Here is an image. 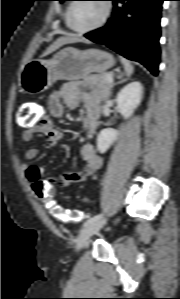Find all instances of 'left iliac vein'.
I'll return each mask as SVG.
<instances>
[{"mask_svg":"<svg viewBox=\"0 0 180 299\" xmlns=\"http://www.w3.org/2000/svg\"><path fill=\"white\" fill-rule=\"evenodd\" d=\"M106 223V219H99L86 226L78 235L76 241V251H79L91 236L96 234Z\"/></svg>","mask_w":180,"mask_h":299,"instance_id":"left-iliac-vein-1","label":"left iliac vein"}]
</instances>
